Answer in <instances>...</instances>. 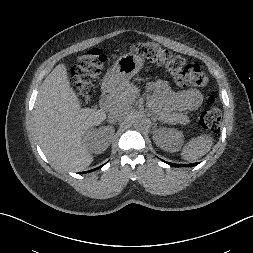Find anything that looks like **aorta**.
I'll list each match as a JSON object with an SVG mask.
<instances>
[{"mask_svg": "<svg viewBox=\"0 0 253 253\" xmlns=\"http://www.w3.org/2000/svg\"><path fill=\"white\" fill-rule=\"evenodd\" d=\"M133 122L136 124V125H141V124H144L146 122V117L139 113V112H136L134 113L133 115Z\"/></svg>", "mask_w": 253, "mask_h": 253, "instance_id": "aorta-1", "label": "aorta"}]
</instances>
